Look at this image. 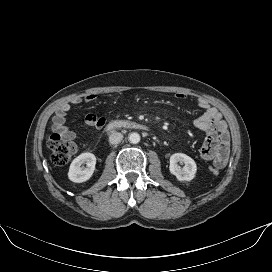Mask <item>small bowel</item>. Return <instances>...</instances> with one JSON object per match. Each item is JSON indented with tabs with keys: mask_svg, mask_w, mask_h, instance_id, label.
<instances>
[{
	"mask_svg": "<svg viewBox=\"0 0 272 272\" xmlns=\"http://www.w3.org/2000/svg\"><path fill=\"white\" fill-rule=\"evenodd\" d=\"M176 98L183 100L186 95L177 93ZM96 99V94H88L84 97L85 102H93ZM81 101L80 97H75L70 102L62 104L53 117L54 131L67 140L77 138V134L66 124L67 113L71 109V104H78ZM198 105L204 110V113L194 121V125L206 133L205 141L199 150V156L202 160L212 161L215 167L221 169L227 164L229 158L230 135L227 124L222 120L220 113L206 100L199 99ZM85 122L88 126L99 130L104 125L105 119L102 116L89 113L85 116Z\"/></svg>",
	"mask_w": 272,
	"mask_h": 272,
	"instance_id": "small-bowel-1",
	"label": "small bowel"
}]
</instances>
